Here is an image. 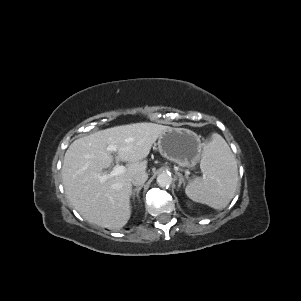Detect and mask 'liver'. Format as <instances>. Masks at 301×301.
Instances as JSON below:
<instances>
[{
  "label": "liver",
  "mask_w": 301,
  "mask_h": 301,
  "mask_svg": "<svg viewBox=\"0 0 301 301\" xmlns=\"http://www.w3.org/2000/svg\"><path fill=\"white\" fill-rule=\"evenodd\" d=\"M168 126L133 123L101 130L75 140L67 149L62 180L67 198L90 223L108 229H120L131 216L132 177L146 170L152 145ZM109 145L117 147L116 160L126 161L124 173L101 179L110 167L113 155Z\"/></svg>",
  "instance_id": "6515ba94"
}]
</instances>
